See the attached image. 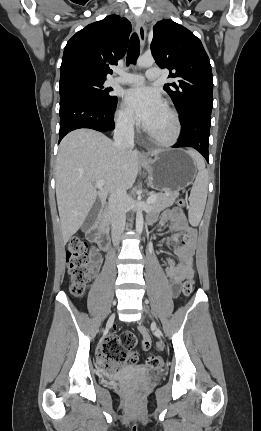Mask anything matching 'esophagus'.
Instances as JSON below:
<instances>
[{
	"label": "esophagus",
	"mask_w": 261,
	"mask_h": 431,
	"mask_svg": "<svg viewBox=\"0 0 261 431\" xmlns=\"http://www.w3.org/2000/svg\"><path fill=\"white\" fill-rule=\"evenodd\" d=\"M136 31L139 36L141 47L143 48L146 42V26L144 24V21L141 18H137L136 20ZM141 156H145L146 153L144 150L140 151Z\"/></svg>",
	"instance_id": "obj_1"
}]
</instances>
